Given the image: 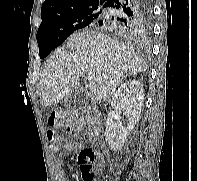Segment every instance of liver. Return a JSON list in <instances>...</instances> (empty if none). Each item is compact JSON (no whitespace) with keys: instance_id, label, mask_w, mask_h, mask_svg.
<instances>
[{"instance_id":"obj_1","label":"liver","mask_w":197,"mask_h":181,"mask_svg":"<svg viewBox=\"0 0 197 181\" xmlns=\"http://www.w3.org/2000/svg\"><path fill=\"white\" fill-rule=\"evenodd\" d=\"M145 62L132 47L92 31L74 33L66 49H57L47 60L38 90L43 107L59 103L77 89L84 73L95 74L90 96L109 98L123 78L145 70Z\"/></svg>"}]
</instances>
